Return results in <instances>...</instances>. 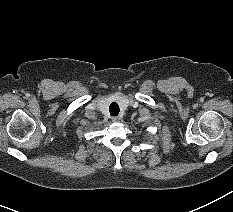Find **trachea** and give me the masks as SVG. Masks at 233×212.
Instances as JSON below:
<instances>
[{"label":"trachea","mask_w":233,"mask_h":212,"mask_svg":"<svg viewBox=\"0 0 233 212\" xmlns=\"http://www.w3.org/2000/svg\"><path fill=\"white\" fill-rule=\"evenodd\" d=\"M109 111L112 116H117L119 114V105L115 102L111 103L109 106Z\"/></svg>","instance_id":"3493384b"}]
</instances>
